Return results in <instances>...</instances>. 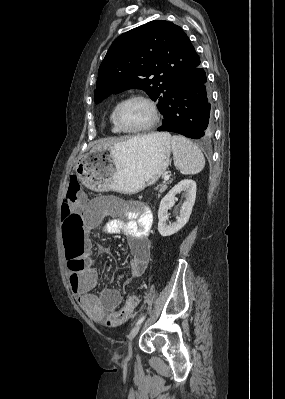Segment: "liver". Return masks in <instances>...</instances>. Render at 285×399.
<instances>
[{
	"label": "liver",
	"instance_id": "6515ba94",
	"mask_svg": "<svg viewBox=\"0 0 285 399\" xmlns=\"http://www.w3.org/2000/svg\"><path fill=\"white\" fill-rule=\"evenodd\" d=\"M159 133H152V134H148V135H142V136H137V137H133L131 139H128L126 141L132 140V139H137V138H154L158 135ZM124 139H106V140H102L100 141L98 144H96L92 150L95 149H111L117 145H119L123 141Z\"/></svg>",
	"mask_w": 285,
	"mask_h": 399
}]
</instances>
